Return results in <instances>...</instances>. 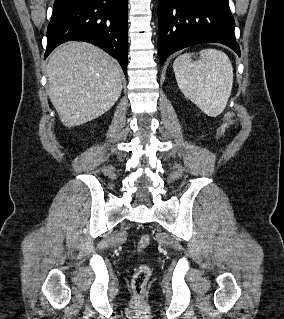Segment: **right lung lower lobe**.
Masks as SVG:
<instances>
[{"instance_id": "1", "label": "right lung lower lobe", "mask_w": 284, "mask_h": 319, "mask_svg": "<svg viewBox=\"0 0 284 319\" xmlns=\"http://www.w3.org/2000/svg\"><path fill=\"white\" fill-rule=\"evenodd\" d=\"M127 15V0H55L45 58L61 43L85 41L113 56L126 74Z\"/></svg>"}]
</instances>
